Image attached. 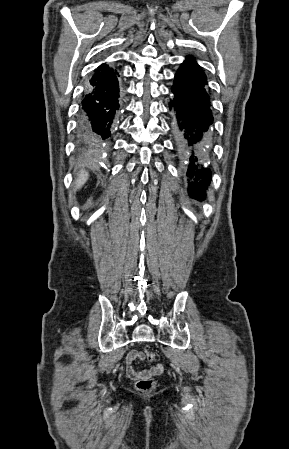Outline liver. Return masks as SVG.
<instances>
[{
    "instance_id": "liver-1",
    "label": "liver",
    "mask_w": 289,
    "mask_h": 449,
    "mask_svg": "<svg viewBox=\"0 0 289 449\" xmlns=\"http://www.w3.org/2000/svg\"><path fill=\"white\" fill-rule=\"evenodd\" d=\"M88 173L85 171H81L78 175V178L75 182V188L80 189L88 179Z\"/></svg>"
}]
</instances>
